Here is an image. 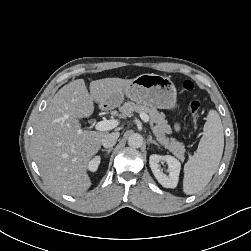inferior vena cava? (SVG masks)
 Listing matches in <instances>:
<instances>
[{
  "mask_svg": "<svg viewBox=\"0 0 251 251\" xmlns=\"http://www.w3.org/2000/svg\"><path fill=\"white\" fill-rule=\"evenodd\" d=\"M119 132L108 133L102 138V145L105 148H112L119 138Z\"/></svg>",
  "mask_w": 251,
  "mask_h": 251,
  "instance_id": "inferior-vena-cava-1",
  "label": "inferior vena cava"
}]
</instances>
